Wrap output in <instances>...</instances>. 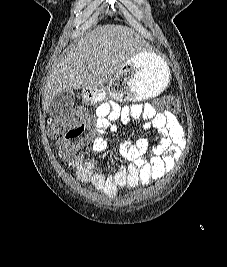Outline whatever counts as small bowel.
<instances>
[{"instance_id": "c3829d8e", "label": "small bowel", "mask_w": 227, "mask_h": 267, "mask_svg": "<svg viewBox=\"0 0 227 267\" xmlns=\"http://www.w3.org/2000/svg\"><path fill=\"white\" fill-rule=\"evenodd\" d=\"M95 116L92 125L83 122L70 127L57 139L56 146L79 182L92 185L108 197L116 196L121 188L149 185L163 178L175 168L186 148L184 131L177 117L169 111L158 112L150 104L100 103ZM134 120H144V129H155L156 134L152 148L147 138L128 139L122 143L120 151L132 160L130 165H120L114 173L106 174L96 169V159H87L81 153L88 144L94 152L103 153L108 148L105 135L117 131L115 122L127 124Z\"/></svg>"}]
</instances>
